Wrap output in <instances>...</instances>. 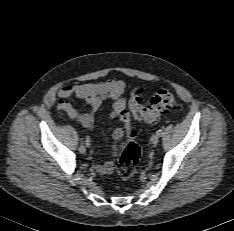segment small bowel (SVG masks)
Segmentation results:
<instances>
[{
	"label": "small bowel",
	"instance_id": "c3829d8e",
	"mask_svg": "<svg viewBox=\"0 0 234 231\" xmlns=\"http://www.w3.org/2000/svg\"><path fill=\"white\" fill-rule=\"evenodd\" d=\"M126 89L124 81L119 79H108L102 82L82 83L76 85L63 86L58 96L60 98L57 108L65 112L70 118L76 119L80 124L88 129L94 125V115L106 98L114 100L112 110L108 115V120L113 121L120 118L123 122V130L127 133L130 128V118L126 111V101L123 94ZM75 96L85 102L88 106L87 111L79 112L66 99ZM122 146V145H121ZM114 160L104 164H96L95 170L103 175L110 174L114 170Z\"/></svg>",
	"mask_w": 234,
	"mask_h": 231
}]
</instances>
